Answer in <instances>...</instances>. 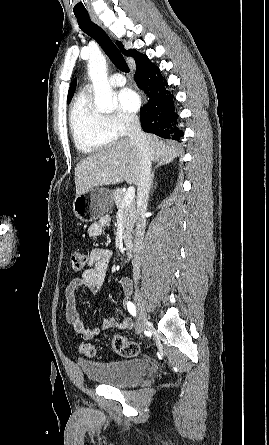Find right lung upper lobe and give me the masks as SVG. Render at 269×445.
I'll use <instances>...</instances> for the list:
<instances>
[{
	"instance_id": "right-lung-upper-lobe-1",
	"label": "right lung upper lobe",
	"mask_w": 269,
	"mask_h": 445,
	"mask_svg": "<svg viewBox=\"0 0 269 445\" xmlns=\"http://www.w3.org/2000/svg\"><path fill=\"white\" fill-rule=\"evenodd\" d=\"M117 46L119 47V49L121 50V52L126 55V56H132L137 63H139L140 61L144 60L145 58H147L146 55L141 54L140 52H138L135 49H130V50H126L123 46V44L120 41H116ZM76 79H74V81L72 82L70 88H69V92H68V100L71 99V97L73 96V93L75 91L76 88Z\"/></svg>"
}]
</instances>
